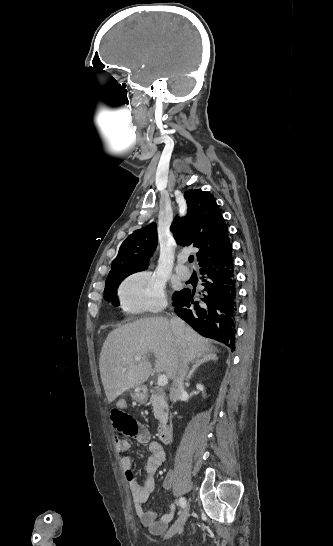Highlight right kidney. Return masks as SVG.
<instances>
[{"instance_id": "obj_1", "label": "right kidney", "mask_w": 333, "mask_h": 546, "mask_svg": "<svg viewBox=\"0 0 333 546\" xmlns=\"http://www.w3.org/2000/svg\"><path fill=\"white\" fill-rule=\"evenodd\" d=\"M196 388L203 392L204 387L201 384H197Z\"/></svg>"}]
</instances>
